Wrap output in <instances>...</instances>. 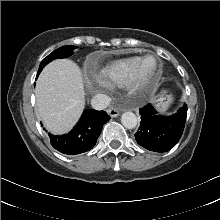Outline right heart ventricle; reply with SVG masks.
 <instances>
[{"instance_id":"1","label":"right heart ventricle","mask_w":220,"mask_h":220,"mask_svg":"<svg viewBox=\"0 0 220 220\" xmlns=\"http://www.w3.org/2000/svg\"><path fill=\"white\" fill-rule=\"evenodd\" d=\"M139 59V57L134 56L112 61L101 67L97 72V76L99 80L108 85L125 86Z\"/></svg>"}]
</instances>
